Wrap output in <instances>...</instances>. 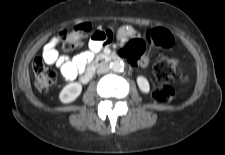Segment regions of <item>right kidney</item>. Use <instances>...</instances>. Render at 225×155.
I'll use <instances>...</instances> for the list:
<instances>
[{
  "label": "right kidney",
  "instance_id": "obj_1",
  "mask_svg": "<svg viewBox=\"0 0 225 155\" xmlns=\"http://www.w3.org/2000/svg\"><path fill=\"white\" fill-rule=\"evenodd\" d=\"M82 85L74 82L66 85L59 94L62 103H70L74 101L81 93Z\"/></svg>",
  "mask_w": 225,
  "mask_h": 155
}]
</instances>
